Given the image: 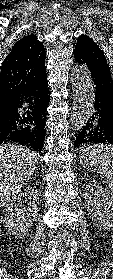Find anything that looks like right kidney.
Returning a JSON list of instances; mask_svg holds the SVG:
<instances>
[{"label":"right kidney","mask_w":113,"mask_h":279,"mask_svg":"<svg viewBox=\"0 0 113 279\" xmlns=\"http://www.w3.org/2000/svg\"><path fill=\"white\" fill-rule=\"evenodd\" d=\"M28 201L27 206L22 205ZM38 203L39 192L35 187H27L11 201L4 217L5 227L9 234L16 238H22L28 234L38 215Z\"/></svg>","instance_id":"obj_1"}]
</instances>
